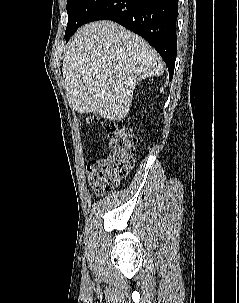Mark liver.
<instances>
[{
    "mask_svg": "<svg viewBox=\"0 0 239 303\" xmlns=\"http://www.w3.org/2000/svg\"><path fill=\"white\" fill-rule=\"evenodd\" d=\"M62 71L73 109L120 121L130 111L136 85L161 76L164 64L140 36L112 21H97L69 41Z\"/></svg>",
    "mask_w": 239,
    "mask_h": 303,
    "instance_id": "1",
    "label": "liver"
}]
</instances>
